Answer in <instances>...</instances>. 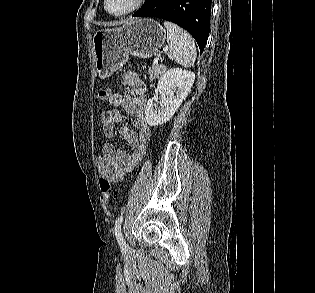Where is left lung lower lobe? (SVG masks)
Instances as JSON below:
<instances>
[{
    "mask_svg": "<svg viewBox=\"0 0 315 293\" xmlns=\"http://www.w3.org/2000/svg\"><path fill=\"white\" fill-rule=\"evenodd\" d=\"M211 0H146L134 17H158L176 23L197 41L202 53L209 35Z\"/></svg>",
    "mask_w": 315,
    "mask_h": 293,
    "instance_id": "1",
    "label": "left lung lower lobe"
}]
</instances>
